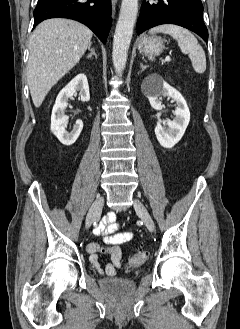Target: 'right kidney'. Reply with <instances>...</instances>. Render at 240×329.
<instances>
[{"label":"right kidney","mask_w":240,"mask_h":329,"mask_svg":"<svg viewBox=\"0 0 240 329\" xmlns=\"http://www.w3.org/2000/svg\"><path fill=\"white\" fill-rule=\"evenodd\" d=\"M79 91L81 101L87 102L90 100L89 85L87 77L84 74L77 75L72 79L58 94L51 115V131L58 140L66 146L72 145L79 137L83 122L77 120L72 131L66 130L68 117L64 114L68 106V99Z\"/></svg>","instance_id":"1"}]
</instances>
